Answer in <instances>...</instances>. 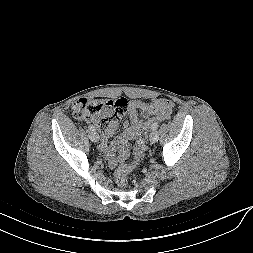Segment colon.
<instances>
[{
	"label": "colon",
	"instance_id": "obj_1",
	"mask_svg": "<svg viewBox=\"0 0 253 253\" xmlns=\"http://www.w3.org/2000/svg\"><path fill=\"white\" fill-rule=\"evenodd\" d=\"M128 102L125 98L93 99L80 98L72 105V113L78 119L92 120L103 133L112 131L120 117L127 112ZM150 125L144 126L136 142L133 160L120 165L115 171V180L120 187L129 183V175L145 157L147 151L148 131Z\"/></svg>",
	"mask_w": 253,
	"mask_h": 253
}]
</instances>
